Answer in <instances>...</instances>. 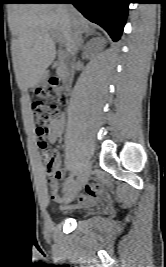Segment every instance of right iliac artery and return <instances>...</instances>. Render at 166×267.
<instances>
[{"label": "right iliac artery", "instance_id": "right-iliac-artery-1", "mask_svg": "<svg viewBox=\"0 0 166 267\" xmlns=\"http://www.w3.org/2000/svg\"><path fill=\"white\" fill-rule=\"evenodd\" d=\"M74 182V173H72L64 183L63 193H65Z\"/></svg>", "mask_w": 166, "mask_h": 267}]
</instances>
